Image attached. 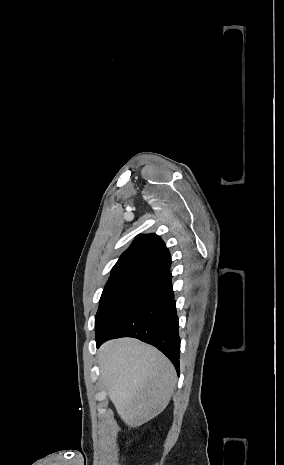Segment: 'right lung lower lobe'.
I'll list each match as a JSON object with an SVG mask.
<instances>
[{"mask_svg": "<svg viewBox=\"0 0 284 465\" xmlns=\"http://www.w3.org/2000/svg\"><path fill=\"white\" fill-rule=\"evenodd\" d=\"M178 317L167 273L111 323L98 337L97 347L113 338L133 337L163 352L179 375L180 338Z\"/></svg>", "mask_w": 284, "mask_h": 465, "instance_id": "1", "label": "right lung lower lobe"}]
</instances>
